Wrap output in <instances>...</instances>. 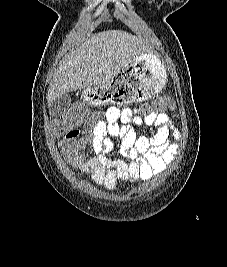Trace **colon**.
I'll list each match as a JSON object with an SVG mask.
<instances>
[{
  "label": "colon",
  "mask_w": 227,
  "mask_h": 267,
  "mask_svg": "<svg viewBox=\"0 0 227 267\" xmlns=\"http://www.w3.org/2000/svg\"><path fill=\"white\" fill-rule=\"evenodd\" d=\"M152 103L153 105L143 106V109L149 110V114L164 113L166 108H173L175 105L174 100L170 97H157ZM97 118H100V115L89 114L85 103L77 102L72 104L54 121L53 132L56 135H63L67 130L80 126L86 119Z\"/></svg>",
  "instance_id": "colon-1"
}]
</instances>
